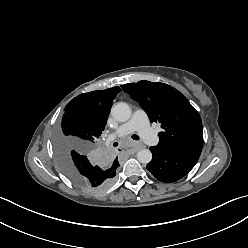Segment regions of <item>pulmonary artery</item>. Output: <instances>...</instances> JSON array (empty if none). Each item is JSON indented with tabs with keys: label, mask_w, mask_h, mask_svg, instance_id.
<instances>
[{
	"label": "pulmonary artery",
	"mask_w": 248,
	"mask_h": 248,
	"mask_svg": "<svg viewBox=\"0 0 248 248\" xmlns=\"http://www.w3.org/2000/svg\"><path fill=\"white\" fill-rule=\"evenodd\" d=\"M134 131L138 132L146 142H151L154 138L148 116L143 110L138 109L134 111L131 119L121 124L114 132L109 134L106 140L109 142L116 138L127 136Z\"/></svg>",
	"instance_id": "obj_1"
}]
</instances>
